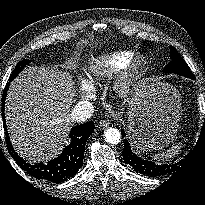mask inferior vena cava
Listing matches in <instances>:
<instances>
[{
    "mask_svg": "<svg viewBox=\"0 0 205 205\" xmlns=\"http://www.w3.org/2000/svg\"><path fill=\"white\" fill-rule=\"evenodd\" d=\"M94 112V107L92 103L88 101L80 102L76 104L71 112L72 120L82 123L88 120Z\"/></svg>",
    "mask_w": 205,
    "mask_h": 205,
    "instance_id": "602c4592",
    "label": "inferior vena cava"
}]
</instances>
